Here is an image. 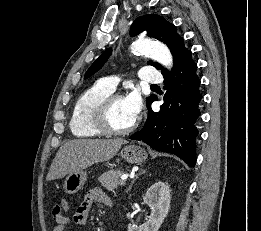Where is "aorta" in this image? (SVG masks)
Returning a JSON list of instances; mask_svg holds the SVG:
<instances>
[{
    "instance_id": "762f6f07",
    "label": "aorta",
    "mask_w": 261,
    "mask_h": 231,
    "mask_svg": "<svg viewBox=\"0 0 261 231\" xmlns=\"http://www.w3.org/2000/svg\"><path fill=\"white\" fill-rule=\"evenodd\" d=\"M131 50L134 54L149 56L168 69H171L173 66L171 52L164 44L149 40H138L133 43Z\"/></svg>"
}]
</instances>
